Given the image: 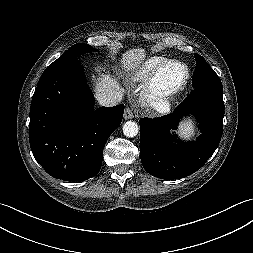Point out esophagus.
I'll return each mask as SVG.
<instances>
[{
    "label": "esophagus",
    "mask_w": 253,
    "mask_h": 253,
    "mask_svg": "<svg viewBox=\"0 0 253 253\" xmlns=\"http://www.w3.org/2000/svg\"><path fill=\"white\" fill-rule=\"evenodd\" d=\"M134 117V114L132 112L131 108H126L124 111V119L128 120V119H132Z\"/></svg>",
    "instance_id": "34e87169"
}]
</instances>
